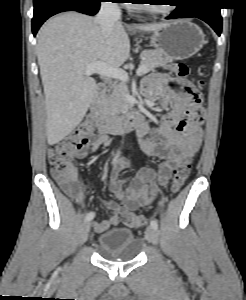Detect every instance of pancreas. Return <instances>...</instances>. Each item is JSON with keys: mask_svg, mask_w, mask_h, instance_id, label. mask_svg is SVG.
<instances>
[{"mask_svg": "<svg viewBox=\"0 0 246 300\" xmlns=\"http://www.w3.org/2000/svg\"><path fill=\"white\" fill-rule=\"evenodd\" d=\"M141 65L146 67V72L154 70L159 66H166L171 59L163 56L158 50H145L140 54ZM129 96V90L125 83L114 85L107 94L100 99V108L104 114H117L127 107L126 98Z\"/></svg>", "mask_w": 246, "mask_h": 300, "instance_id": "1", "label": "pancreas"}]
</instances>
